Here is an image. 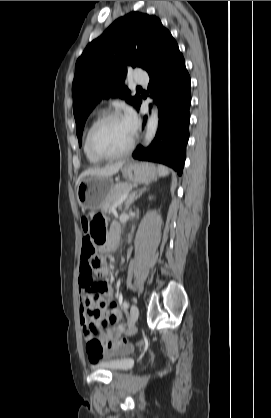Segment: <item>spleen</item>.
I'll list each match as a JSON object with an SVG mask.
<instances>
[{
	"label": "spleen",
	"instance_id": "spleen-1",
	"mask_svg": "<svg viewBox=\"0 0 271 418\" xmlns=\"http://www.w3.org/2000/svg\"><path fill=\"white\" fill-rule=\"evenodd\" d=\"M158 174L161 177L167 176L169 174V170L166 166L159 164L158 165Z\"/></svg>",
	"mask_w": 271,
	"mask_h": 418
}]
</instances>
